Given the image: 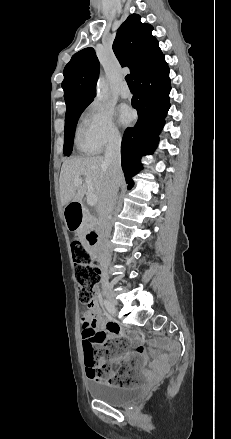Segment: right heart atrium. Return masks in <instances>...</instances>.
I'll list each match as a JSON object with an SVG mask.
<instances>
[{
	"mask_svg": "<svg viewBox=\"0 0 231 439\" xmlns=\"http://www.w3.org/2000/svg\"><path fill=\"white\" fill-rule=\"evenodd\" d=\"M82 137L100 152L121 142V133L115 123L113 112L100 102L89 104L82 117Z\"/></svg>",
	"mask_w": 231,
	"mask_h": 439,
	"instance_id": "obj_1",
	"label": "right heart atrium"
}]
</instances>
